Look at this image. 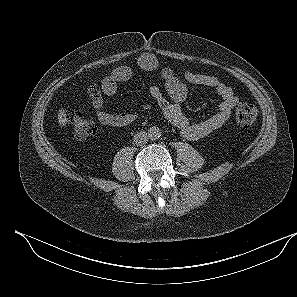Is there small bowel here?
Here are the masks:
<instances>
[{"label":"small bowel","mask_w":297,"mask_h":297,"mask_svg":"<svg viewBox=\"0 0 297 297\" xmlns=\"http://www.w3.org/2000/svg\"><path fill=\"white\" fill-rule=\"evenodd\" d=\"M138 67L146 72L159 71L164 81L168 100L158 86H152L149 93L162 111L164 118L180 131L183 138L196 141L202 139L221 126L231 117L239 99L233 89L219 78L192 71L180 72L172 66L160 68L157 57L151 53H142L138 57ZM135 76V70L129 66H120L106 76L100 86L92 84L89 95L98 121L106 126L124 127L137 120L134 112L109 113L103 110L104 96L114 95L120 83L128 82ZM201 85L214 89L220 97L218 111L209 118L191 123L185 116L182 105L187 99L189 86Z\"/></svg>","instance_id":"c3829d8e"}]
</instances>
